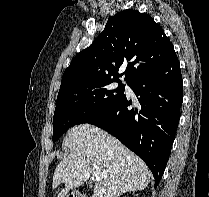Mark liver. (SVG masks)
<instances>
[{
	"label": "liver",
	"instance_id": "6515ba94",
	"mask_svg": "<svg viewBox=\"0 0 209 197\" xmlns=\"http://www.w3.org/2000/svg\"><path fill=\"white\" fill-rule=\"evenodd\" d=\"M70 154L57 165L52 187L65 183L58 197L83 184L92 169L97 168L102 178L94 186L97 197H119L120 195L144 190L151 173L147 165L118 139L104 130L89 124L71 128L63 140Z\"/></svg>",
	"mask_w": 209,
	"mask_h": 197
}]
</instances>
